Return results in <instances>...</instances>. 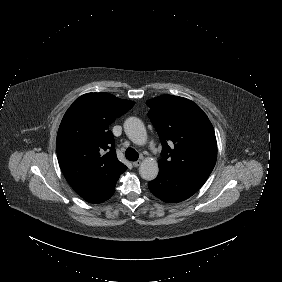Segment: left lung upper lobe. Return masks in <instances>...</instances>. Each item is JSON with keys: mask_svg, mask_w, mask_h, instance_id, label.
Here are the masks:
<instances>
[{"mask_svg": "<svg viewBox=\"0 0 282 282\" xmlns=\"http://www.w3.org/2000/svg\"><path fill=\"white\" fill-rule=\"evenodd\" d=\"M146 104L162 142L159 170L210 174L217 159V143L207 115L194 102L173 95Z\"/></svg>", "mask_w": 282, "mask_h": 282, "instance_id": "left-lung-upper-lobe-1", "label": "left lung upper lobe"}]
</instances>
